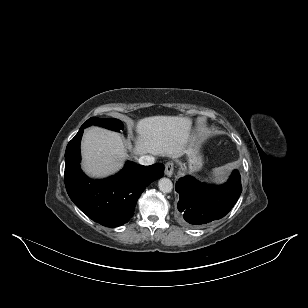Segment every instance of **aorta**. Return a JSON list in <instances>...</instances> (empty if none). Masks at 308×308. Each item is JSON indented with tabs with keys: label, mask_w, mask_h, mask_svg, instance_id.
Returning a JSON list of instances; mask_svg holds the SVG:
<instances>
[{
	"label": "aorta",
	"mask_w": 308,
	"mask_h": 308,
	"mask_svg": "<svg viewBox=\"0 0 308 308\" xmlns=\"http://www.w3.org/2000/svg\"><path fill=\"white\" fill-rule=\"evenodd\" d=\"M158 187L163 193H170L173 189L172 181L168 178H161L158 182Z\"/></svg>",
	"instance_id": "obj_1"
}]
</instances>
